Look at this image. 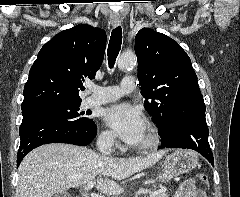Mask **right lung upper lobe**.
<instances>
[{"label": "right lung upper lobe", "mask_w": 240, "mask_h": 197, "mask_svg": "<svg viewBox=\"0 0 240 197\" xmlns=\"http://www.w3.org/2000/svg\"><path fill=\"white\" fill-rule=\"evenodd\" d=\"M106 48V32L87 24L55 35L39 51L24 87L22 110L50 102H79L84 80L95 78Z\"/></svg>", "instance_id": "obj_1"}]
</instances>
